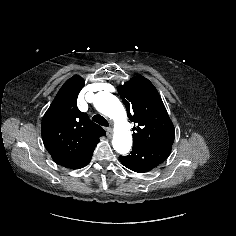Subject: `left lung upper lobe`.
<instances>
[{
    "label": "left lung upper lobe",
    "instance_id": "left-lung-upper-lobe-1",
    "mask_svg": "<svg viewBox=\"0 0 236 236\" xmlns=\"http://www.w3.org/2000/svg\"><path fill=\"white\" fill-rule=\"evenodd\" d=\"M117 89L134 123L133 145L172 147L175 129L154 85L138 76Z\"/></svg>",
    "mask_w": 236,
    "mask_h": 236
}]
</instances>
